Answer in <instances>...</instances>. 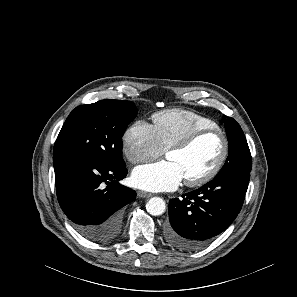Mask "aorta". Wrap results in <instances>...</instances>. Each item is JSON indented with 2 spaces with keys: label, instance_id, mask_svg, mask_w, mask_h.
<instances>
[{
  "label": "aorta",
  "instance_id": "1",
  "mask_svg": "<svg viewBox=\"0 0 297 297\" xmlns=\"http://www.w3.org/2000/svg\"><path fill=\"white\" fill-rule=\"evenodd\" d=\"M165 201L160 197H153L146 203V210L153 216L162 215L165 212Z\"/></svg>",
  "mask_w": 297,
  "mask_h": 297
}]
</instances>
